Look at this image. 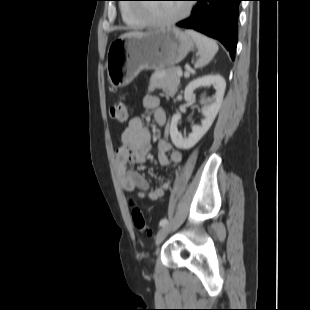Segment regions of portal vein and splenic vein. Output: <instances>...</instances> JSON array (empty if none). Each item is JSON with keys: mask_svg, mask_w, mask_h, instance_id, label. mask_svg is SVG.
I'll return each instance as SVG.
<instances>
[{"mask_svg": "<svg viewBox=\"0 0 310 310\" xmlns=\"http://www.w3.org/2000/svg\"><path fill=\"white\" fill-rule=\"evenodd\" d=\"M182 74H183L182 70H181V69H179V70L177 71V75H178V77H181V76H182ZM186 75H187V76H189V73H187Z\"/></svg>", "mask_w": 310, "mask_h": 310, "instance_id": "obj_1", "label": "portal vein and splenic vein"}]
</instances>
